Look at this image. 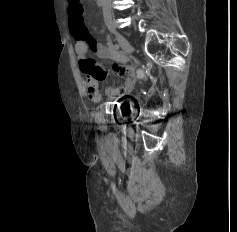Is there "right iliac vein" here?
Instances as JSON below:
<instances>
[{
  "instance_id": "right-iliac-vein-1",
  "label": "right iliac vein",
  "mask_w": 237,
  "mask_h": 232,
  "mask_svg": "<svg viewBox=\"0 0 237 232\" xmlns=\"http://www.w3.org/2000/svg\"><path fill=\"white\" fill-rule=\"evenodd\" d=\"M110 31H111L112 34H114V36L118 40V42H119L121 48L123 49V51L126 54H129L131 52V45L128 42V40L123 35L118 33L114 28H110Z\"/></svg>"
}]
</instances>
